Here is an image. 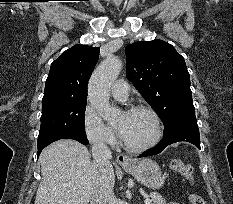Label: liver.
Listing matches in <instances>:
<instances>
[{
    "label": "liver",
    "instance_id": "6515ba94",
    "mask_svg": "<svg viewBox=\"0 0 233 204\" xmlns=\"http://www.w3.org/2000/svg\"><path fill=\"white\" fill-rule=\"evenodd\" d=\"M42 180L35 204H88L98 187L101 169L79 142L62 139L40 155ZM110 175L115 183L111 165Z\"/></svg>",
    "mask_w": 233,
    "mask_h": 204
}]
</instances>
